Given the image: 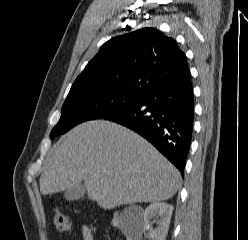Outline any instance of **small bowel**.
Wrapping results in <instances>:
<instances>
[{
	"mask_svg": "<svg viewBox=\"0 0 248 240\" xmlns=\"http://www.w3.org/2000/svg\"><path fill=\"white\" fill-rule=\"evenodd\" d=\"M81 232L83 240H94L93 232L87 225L82 226Z\"/></svg>",
	"mask_w": 248,
	"mask_h": 240,
	"instance_id": "1",
	"label": "small bowel"
}]
</instances>
